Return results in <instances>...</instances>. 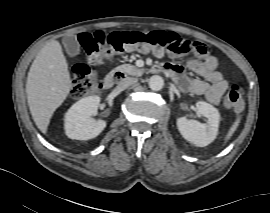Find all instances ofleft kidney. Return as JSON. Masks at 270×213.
Masks as SVG:
<instances>
[{"label":"left kidney","instance_id":"left-kidney-1","mask_svg":"<svg viewBox=\"0 0 270 213\" xmlns=\"http://www.w3.org/2000/svg\"><path fill=\"white\" fill-rule=\"evenodd\" d=\"M196 107L207 122L200 123L181 117L177 119V127L184 139L196 146L204 147L213 142L218 134L220 114L214 106L204 101H198Z\"/></svg>","mask_w":270,"mask_h":213}]
</instances>
